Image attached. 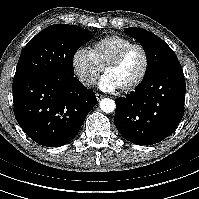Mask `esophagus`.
Returning a JSON list of instances; mask_svg holds the SVG:
<instances>
[{
    "mask_svg": "<svg viewBox=\"0 0 199 199\" xmlns=\"http://www.w3.org/2000/svg\"><path fill=\"white\" fill-rule=\"evenodd\" d=\"M95 96H96L97 101H100L101 99L104 98V96L99 93H96Z\"/></svg>",
    "mask_w": 199,
    "mask_h": 199,
    "instance_id": "obj_1",
    "label": "esophagus"
}]
</instances>
